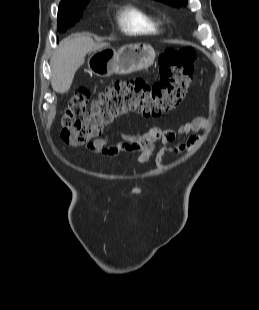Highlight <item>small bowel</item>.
I'll use <instances>...</instances> for the list:
<instances>
[{
  "label": "small bowel",
  "mask_w": 259,
  "mask_h": 310,
  "mask_svg": "<svg viewBox=\"0 0 259 310\" xmlns=\"http://www.w3.org/2000/svg\"><path fill=\"white\" fill-rule=\"evenodd\" d=\"M209 126L210 123L206 118L196 117L182 123L177 128L162 129L154 125L140 135L118 131L90 143L85 148L84 153H95L109 158L120 151L134 152L137 153L136 161L138 164L146 163L153 158L159 167H164L163 160L167 154L172 152L181 153L194 148L199 142V136L193 134L185 142L175 147L171 146L172 143L182 135L204 131ZM116 136L122 138V141L109 145V140ZM156 143L162 145L157 151L155 150Z\"/></svg>",
  "instance_id": "small-bowel-1"
}]
</instances>
